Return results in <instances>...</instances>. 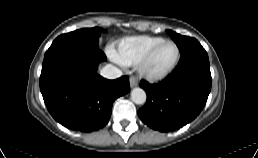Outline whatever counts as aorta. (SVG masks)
I'll use <instances>...</instances> for the list:
<instances>
[{
  "mask_svg": "<svg viewBox=\"0 0 258 158\" xmlns=\"http://www.w3.org/2000/svg\"><path fill=\"white\" fill-rule=\"evenodd\" d=\"M131 100L138 105L146 102V93L142 88H134L131 91Z\"/></svg>",
  "mask_w": 258,
  "mask_h": 158,
  "instance_id": "obj_1",
  "label": "aorta"
}]
</instances>
